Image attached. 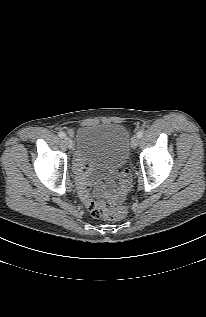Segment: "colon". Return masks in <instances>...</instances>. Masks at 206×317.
<instances>
[{"label":"colon","mask_w":206,"mask_h":317,"mask_svg":"<svg viewBox=\"0 0 206 317\" xmlns=\"http://www.w3.org/2000/svg\"><path fill=\"white\" fill-rule=\"evenodd\" d=\"M87 208L96 218L114 221L123 219L127 213L125 206H116L112 200L101 197L97 191L91 195Z\"/></svg>","instance_id":"1"}]
</instances>
